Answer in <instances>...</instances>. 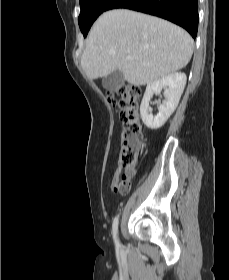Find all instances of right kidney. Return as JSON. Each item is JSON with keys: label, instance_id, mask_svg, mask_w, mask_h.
<instances>
[{"label": "right kidney", "instance_id": "1", "mask_svg": "<svg viewBox=\"0 0 229 280\" xmlns=\"http://www.w3.org/2000/svg\"><path fill=\"white\" fill-rule=\"evenodd\" d=\"M186 80L185 73L176 72L147 84L140 106V114L142 121L148 128L152 130L159 129L169 119L178 106ZM163 88H165V100L158 107V114L153 116L149 101L154 93H160Z\"/></svg>", "mask_w": 229, "mask_h": 280}]
</instances>
